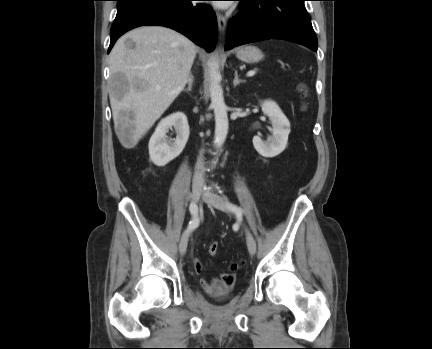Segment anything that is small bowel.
Here are the masks:
<instances>
[{"mask_svg": "<svg viewBox=\"0 0 432 349\" xmlns=\"http://www.w3.org/2000/svg\"><path fill=\"white\" fill-rule=\"evenodd\" d=\"M195 270L200 273L202 270L201 263L198 260L194 261ZM235 282L233 273H224L220 277L213 279H203L201 281L203 288L211 294L221 293L228 290Z\"/></svg>", "mask_w": 432, "mask_h": 349, "instance_id": "small-bowel-1", "label": "small bowel"}]
</instances>
